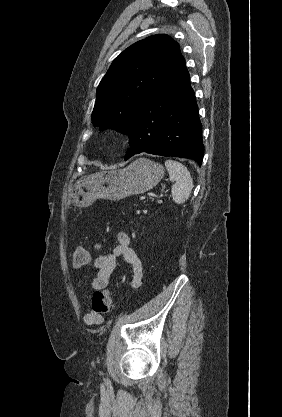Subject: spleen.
Segmentation results:
<instances>
[{
    "label": "spleen",
    "mask_w": 282,
    "mask_h": 417,
    "mask_svg": "<svg viewBox=\"0 0 282 417\" xmlns=\"http://www.w3.org/2000/svg\"><path fill=\"white\" fill-rule=\"evenodd\" d=\"M165 166L169 172L170 180H175V184L172 186L173 200L177 204H182L187 200L193 186L191 174L185 164L178 162V160H170L169 158V160H165Z\"/></svg>",
    "instance_id": "3e777b00"
}]
</instances>
